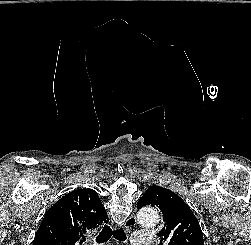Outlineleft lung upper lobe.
Returning <instances> with one entry per match:
<instances>
[{
    "mask_svg": "<svg viewBox=\"0 0 251 245\" xmlns=\"http://www.w3.org/2000/svg\"><path fill=\"white\" fill-rule=\"evenodd\" d=\"M151 205L160 210V245H204L203 234L190 207L169 189L153 185L137 203V208Z\"/></svg>",
    "mask_w": 251,
    "mask_h": 245,
    "instance_id": "1",
    "label": "left lung upper lobe"
}]
</instances>
